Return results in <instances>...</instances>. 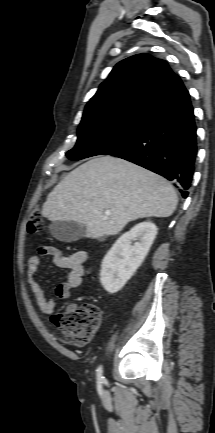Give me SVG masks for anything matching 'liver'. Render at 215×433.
Wrapping results in <instances>:
<instances>
[{
    "instance_id": "1",
    "label": "liver",
    "mask_w": 215,
    "mask_h": 433,
    "mask_svg": "<svg viewBox=\"0 0 215 433\" xmlns=\"http://www.w3.org/2000/svg\"><path fill=\"white\" fill-rule=\"evenodd\" d=\"M178 197L163 177L129 161L101 156L68 173L43 205L48 220L74 221L85 236L99 239L118 234L128 222L169 217ZM109 210L106 217L104 211Z\"/></svg>"
}]
</instances>
